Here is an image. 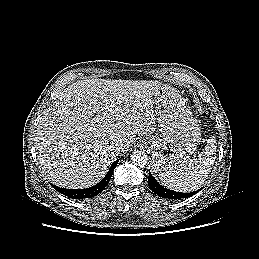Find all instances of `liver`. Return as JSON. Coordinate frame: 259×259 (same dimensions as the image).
<instances>
[{
	"label": "liver",
	"instance_id": "1",
	"mask_svg": "<svg viewBox=\"0 0 259 259\" xmlns=\"http://www.w3.org/2000/svg\"><path fill=\"white\" fill-rule=\"evenodd\" d=\"M158 81L86 79L64 89L36 129L42 173L53 184L82 189L98 183L136 135L156 130ZM122 144L116 151L113 144Z\"/></svg>",
	"mask_w": 259,
	"mask_h": 259
}]
</instances>
